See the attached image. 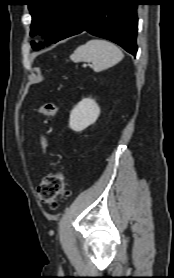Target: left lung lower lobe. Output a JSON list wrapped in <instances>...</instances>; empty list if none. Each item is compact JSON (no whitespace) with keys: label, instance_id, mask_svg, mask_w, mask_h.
<instances>
[{"label":"left lung lower lobe","instance_id":"left-lung-lower-lobe-1","mask_svg":"<svg viewBox=\"0 0 174 278\" xmlns=\"http://www.w3.org/2000/svg\"><path fill=\"white\" fill-rule=\"evenodd\" d=\"M137 5L139 0H78L75 11L55 43L88 31L119 44L135 56Z\"/></svg>","mask_w":174,"mask_h":278}]
</instances>
